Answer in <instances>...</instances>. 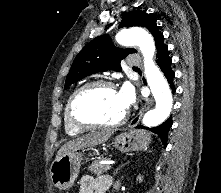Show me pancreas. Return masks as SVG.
<instances>
[{
  "instance_id": "pancreas-1",
  "label": "pancreas",
  "mask_w": 221,
  "mask_h": 193,
  "mask_svg": "<svg viewBox=\"0 0 221 193\" xmlns=\"http://www.w3.org/2000/svg\"><path fill=\"white\" fill-rule=\"evenodd\" d=\"M103 160H108L107 158H104ZM88 170L93 172L96 176L102 175L104 172H106V165L99 164L97 162H93L89 167Z\"/></svg>"
}]
</instances>
